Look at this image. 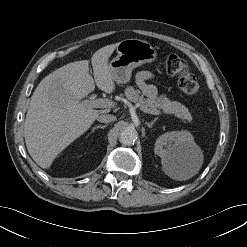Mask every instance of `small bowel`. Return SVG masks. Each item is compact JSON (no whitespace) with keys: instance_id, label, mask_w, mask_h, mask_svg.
Here are the masks:
<instances>
[{"instance_id":"small-bowel-1","label":"small bowel","mask_w":247,"mask_h":247,"mask_svg":"<svg viewBox=\"0 0 247 247\" xmlns=\"http://www.w3.org/2000/svg\"><path fill=\"white\" fill-rule=\"evenodd\" d=\"M153 77L154 75L150 71H141L136 76L138 87L143 92V94L150 99H153L157 96V89L155 86L148 83V81Z\"/></svg>"}]
</instances>
